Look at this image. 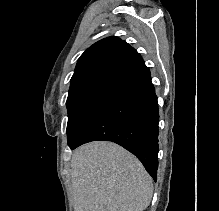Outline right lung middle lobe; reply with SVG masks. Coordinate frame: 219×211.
I'll return each mask as SVG.
<instances>
[{
	"instance_id": "right-lung-middle-lobe-1",
	"label": "right lung middle lobe",
	"mask_w": 219,
	"mask_h": 211,
	"mask_svg": "<svg viewBox=\"0 0 219 211\" xmlns=\"http://www.w3.org/2000/svg\"><path fill=\"white\" fill-rule=\"evenodd\" d=\"M112 88L99 86L67 98L69 146L76 141L86 123Z\"/></svg>"
}]
</instances>
